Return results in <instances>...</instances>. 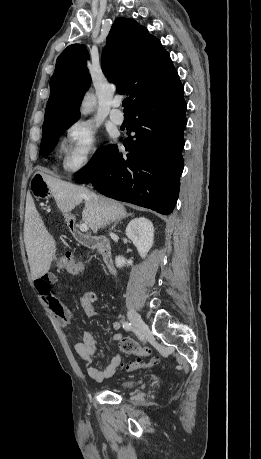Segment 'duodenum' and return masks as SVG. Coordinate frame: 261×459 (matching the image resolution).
I'll use <instances>...</instances> for the list:
<instances>
[{"label":"duodenum","mask_w":261,"mask_h":459,"mask_svg":"<svg viewBox=\"0 0 261 459\" xmlns=\"http://www.w3.org/2000/svg\"><path fill=\"white\" fill-rule=\"evenodd\" d=\"M71 231L75 240L80 244L88 248H96L99 251L107 269L110 272L115 273L112 248L109 241L105 237L84 234L77 230L74 225L71 226Z\"/></svg>","instance_id":"duodenum-1"}]
</instances>
